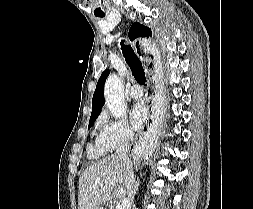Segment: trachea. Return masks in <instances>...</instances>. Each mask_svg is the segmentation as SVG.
Here are the masks:
<instances>
[{"mask_svg": "<svg viewBox=\"0 0 253 209\" xmlns=\"http://www.w3.org/2000/svg\"><path fill=\"white\" fill-rule=\"evenodd\" d=\"M121 49L125 57V60L132 71L134 78L139 84L145 85L146 77L141 61L134 53L131 46L125 45L123 40L121 41Z\"/></svg>", "mask_w": 253, "mask_h": 209, "instance_id": "1", "label": "trachea"}]
</instances>
